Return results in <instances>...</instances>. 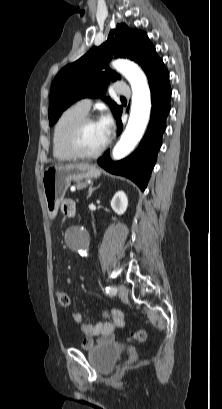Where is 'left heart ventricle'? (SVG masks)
<instances>
[{
	"mask_svg": "<svg viewBox=\"0 0 222 409\" xmlns=\"http://www.w3.org/2000/svg\"><path fill=\"white\" fill-rule=\"evenodd\" d=\"M80 146L88 153L99 150L106 142L99 123L92 122L88 124L80 135Z\"/></svg>",
	"mask_w": 222,
	"mask_h": 409,
	"instance_id": "obj_1",
	"label": "left heart ventricle"
}]
</instances>
